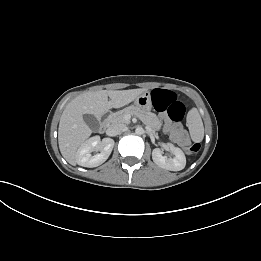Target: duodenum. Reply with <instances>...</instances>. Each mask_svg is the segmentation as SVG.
<instances>
[{
    "label": "duodenum",
    "mask_w": 261,
    "mask_h": 261,
    "mask_svg": "<svg viewBox=\"0 0 261 261\" xmlns=\"http://www.w3.org/2000/svg\"><path fill=\"white\" fill-rule=\"evenodd\" d=\"M107 127V123L106 121H102L100 124V131H104Z\"/></svg>",
    "instance_id": "duodenum-1"
}]
</instances>
